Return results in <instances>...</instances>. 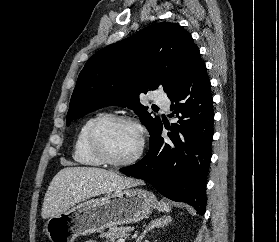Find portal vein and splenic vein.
Here are the masks:
<instances>
[{
  "label": "portal vein and splenic vein",
  "instance_id": "18ae733b",
  "mask_svg": "<svg viewBox=\"0 0 279 242\" xmlns=\"http://www.w3.org/2000/svg\"><path fill=\"white\" fill-rule=\"evenodd\" d=\"M117 242H124V240L123 239H119Z\"/></svg>",
  "mask_w": 279,
  "mask_h": 242
}]
</instances>
